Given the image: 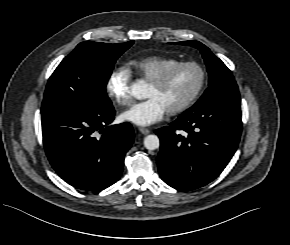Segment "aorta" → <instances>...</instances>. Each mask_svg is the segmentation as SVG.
<instances>
[{
  "instance_id": "obj_1",
  "label": "aorta",
  "mask_w": 290,
  "mask_h": 245,
  "mask_svg": "<svg viewBox=\"0 0 290 245\" xmlns=\"http://www.w3.org/2000/svg\"><path fill=\"white\" fill-rule=\"evenodd\" d=\"M132 95L136 99H143L146 96V85L143 81H138L132 86ZM144 146L148 150H156L160 146V140L157 135L151 134L144 138Z\"/></svg>"
}]
</instances>
